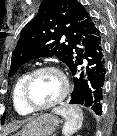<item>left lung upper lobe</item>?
Listing matches in <instances>:
<instances>
[{"instance_id":"5c2ea615","label":"left lung upper lobe","mask_w":117,"mask_h":136,"mask_svg":"<svg viewBox=\"0 0 117 136\" xmlns=\"http://www.w3.org/2000/svg\"><path fill=\"white\" fill-rule=\"evenodd\" d=\"M98 32L96 22L77 0H43L35 18L20 33L9 76L31 59L53 55L70 69L87 39Z\"/></svg>"}]
</instances>
